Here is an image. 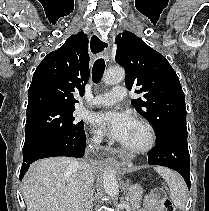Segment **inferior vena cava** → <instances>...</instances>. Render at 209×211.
<instances>
[{
    "mask_svg": "<svg viewBox=\"0 0 209 211\" xmlns=\"http://www.w3.org/2000/svg\"><path fill=\"white\" fill-rule=\"evenodd\" d=\"M101 141V137L97 136L94 138V142L98 143ZM82 170L85 181L87 183V188L85 192V211H92V202H93V194H94V176H93V168L87 162H82Z\"/></svg>",
    "mask_w": 209,
    "mask_h": 211,
    "instance_id": "1",
    "label": "inferior vena cava"
}]
</instances>
